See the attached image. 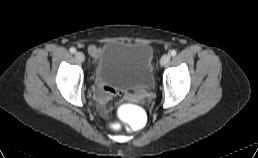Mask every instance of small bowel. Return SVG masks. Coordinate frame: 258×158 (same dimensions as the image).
Here are the masks:
<instances>
[{"label":"small bowel","mask_w":258,"mask_h":158,"mask_svg":"<svg viewBox=\"0 0 258 158\" xmlns=\"http://www.w3.org/2000/svg\"><path fill=\"white\" fill-rule=\"evenodd\" d=\"M89 52H90L92 55L96 56V55L99 53V49H98L96 46H90V47H89ZM106 92H107V94L110 95V96H112V95L115 93V91H114L112 88H107V89H106Z\"/></svg>","instance_id":"c3829d8e"}]
</instances>
